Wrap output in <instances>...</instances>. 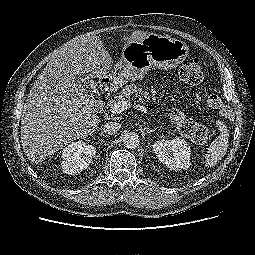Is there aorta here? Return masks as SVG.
Returning a JSON list of instances; mask_svg holds the SVG:
<instances>
[{
  "label": "aorta",
  "instance_id": "762f6f07",
  "mask_svg": "<svg viewBox=\"0 0 255 255\" xmlns=\"http://www.w3.org/2000/svg\"><path fill=\"white\" fill-rule=\"evenodd\" d=\"M140 143L139 135L135 132H127L123 136V144L125 147L133 149Z\"/></svg>",
  "mask_w": 255,
  "mask_h": 255
}]
</instances>
